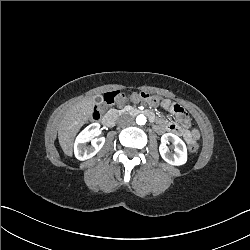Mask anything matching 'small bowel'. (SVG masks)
Masks as SVG:
<instances>
[{"instance_id": "c3829d8e", "label": "small bowel", "mask_w": 250, "mask_h": 250, "mask_svg": "<svg viewBox=\"0 0 250 250\" xmlns=\"http://www.w3.org/2000/svg\"><path fill=\"white\" fill-rule=\"evenodd\" d=\"M130 99L132 100V101H138L139 99L137 98V93H133L131 96H130ZM161 105H162V107L163 108H165V109H171L172 111H173V109H174V106L175 105H173L169 100H163L162 102H161ZM170 128V129H172L173 131H176V132H178V131H182L183 129L180 127V126H178V125H167L166 123H164V122H159L158 123V128L159 129H164V128ZM199 137V134H198V132H197V130H195V129H193V130H190V131H188V138L192 141V142H194L197 138Z\"/></svg>"}]
</instances>
